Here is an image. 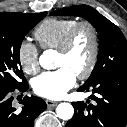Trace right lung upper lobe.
Listing matches in <instances>:
<instances>
[{"label": "right lung upper lobe", "instance_id": "cb5924a9", "mask_svg": "<svg viewBox=\"0 0 127 127\" xmlns=\"http://www.w3.org/2000/svg\"><path fill=\"white\" fill-rule=\"evenodd\" d=\"M3 14L14 16V17L26 15V13H17V12H6Z\"/></svg>", "mask_w": 127, "mask_h": 127}]
</instances>
